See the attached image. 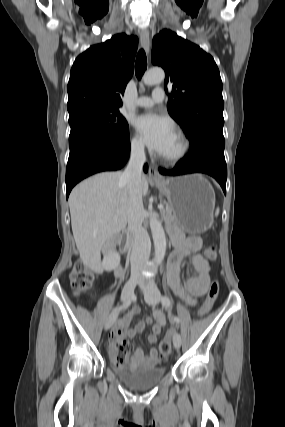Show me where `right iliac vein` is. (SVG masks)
I'll list each match as a JSON object with an SVG mask.
<instances>
[{"label":"right iliac vein","instance_id":"right-iliac-vein-1","mask_svg":"<svg viewBox=\"0 0 285 427\" xmlns=\"http://www.w3.org/2000/svg\"><path fill=\"white\" fill-rule=\"evenodd\" d=\"M140 283L139 279H130L126 285L124 286L123 290H122V294H121V300L123 302L127 301L132 294L134 293L135 287L137 284ZM118 316V310L113 311L109 317L107 318L106 322H105V330H108L109 328H111V326L114 324L116 318Z\"/></svg>","mask_w":285,"mask_h":427}]
</instances>
